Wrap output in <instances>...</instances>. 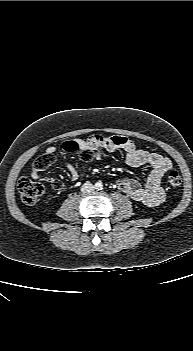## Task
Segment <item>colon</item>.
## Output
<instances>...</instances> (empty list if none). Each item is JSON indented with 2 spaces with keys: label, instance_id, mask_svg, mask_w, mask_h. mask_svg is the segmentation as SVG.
<instances>
[{
  "label": "colon",
  "instance_id": "5ec220e1",
  "mask_svg": "<svg viewBox=\"0 0 193 351\" xmlns=\"http://www.w3.org/2000/svg\"><path fill=\"white\" fill-rule=\"evenodd\" d=\"M80 158L84 161L92 160L93 151L90 149L80 150ZM54 161L55 153H44L36 159L34 168L40 171L51 166ZM167 184L171 189H176L180 186L181 176L177 170L173 169L169 172L167 176ZM52 185L56 189L63 188L62 183L58 180H55ZM18 190L22 201L27 205L35 204L44 192L43 186L40 183L32 181L28 178H21L19 180Z\"/></svg>",
  "mask_w": 193,
  "mask_h": 351
}]
</instances>
